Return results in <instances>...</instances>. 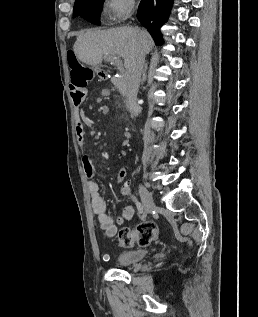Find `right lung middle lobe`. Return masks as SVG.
Listing matches in <instances>:
<instances>
[{
	"label": "right lung middle lobe",
	"instance_id": "obj_1",
	"mask_svg": "<svg viewBox=\"0 0 258 317\" xmlns=\"http://www.w3.org/2000/svg\"><path fill=\"white\" fill-rule=\"evenodd\" d=\"M104 0H76L73 9V17L81 16L93 24H100L99 13L102 10Z\"/></svg>",
	"mask_w": 258,
	"mask_h": 317
}]
</instances>
